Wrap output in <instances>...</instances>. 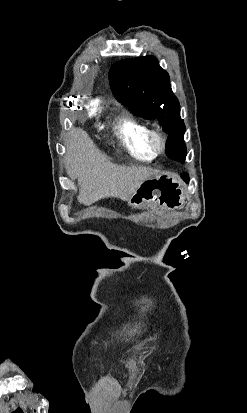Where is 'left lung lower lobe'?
<instances>
[{"label":"left lung lower lobe","mask_w":247,"mask_h":413,"mask_svg":"<svg viewBox=\"0 0 247 413\" xmlns=\"http://www.w3.org/2000/svg\"><path fill=\"white\" fill-rule=\"evenodd\" d=\"M182 178H183L186 182L189 181V177H188L187 174H183V175H182Z\"/></svg>","instance_id":"obj_1"}]
</instances>
